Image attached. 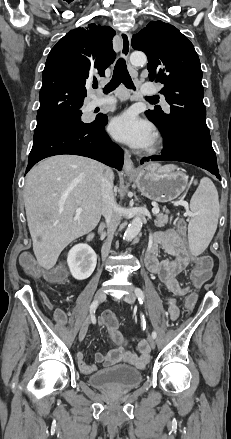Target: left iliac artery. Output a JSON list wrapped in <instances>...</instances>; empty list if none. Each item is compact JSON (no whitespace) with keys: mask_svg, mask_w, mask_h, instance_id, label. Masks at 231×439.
<instances>
[{"mask_svg":"<svg viewBox=\"0 0 231 439\" xmlns=\"http://www.w3.org/2000/svg\"><path fill=\"white\" fill-rule=\"evenodd\" d=\"M135 294L137 296L138 301L140 302V304H142L144 302V293L140 288H135ZM157 334L155 331L152 332V338H156Z\"/></svg>","mask_w":231,"mask_h":439,"instance_id":"left-iliac-artery-1","label":"left iliac artery"}]
</instances>
